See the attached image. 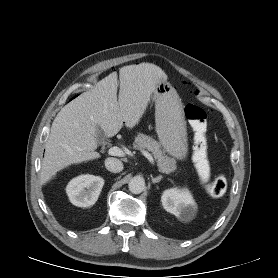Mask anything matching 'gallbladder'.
Wrapping results in <instances>:
<instances>
[{
  "instance_id": "gallbladder-1",
  "label": "gallbladder",
  "mask_w": 278,
  "mask_h": 278,
  "mask_svg": "<svg viewBox=\"0 0 278 278\" xmlns=\"http://www.w3.org/2000/svg\"><path fill=\"white\" fill-rule=\"evenodd\" d=\"M105 137L106 136H105L104 132L102 131V129L98 128L97 129V142L99 144L105 143Z\"/></svg>"
}]
</instances>
